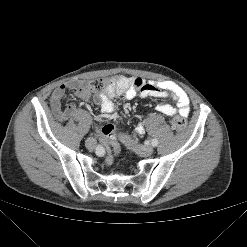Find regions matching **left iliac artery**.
Here are the masks:
<instances>
[{
	"label": "left iliac artery",
	"mask_w": 247,
	"mask_h": 247,
	"mask_svg": "<svg viewBox=\"0 0 247 247\" xmlns=\"http://www.w3.org/2000/svg\"><path fill=\"white\" fill-rule=\"evenodd\" d=\"M151 144L153 147H156L158 145V140L157 139H152Z\"/></svg>",
	"instance_id": "1"
}]
</instances>
